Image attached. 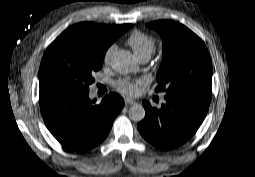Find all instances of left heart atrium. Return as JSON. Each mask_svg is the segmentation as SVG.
I'll use <instances>...</instances> for the list:
<instances>
[{
    "mask_svg": "<svg viewBox=\"0 0 255 177\" xmlns=\"http://www.w3.org/2000/svg\"><path fill=\"white\" fill-rule=\"evenodd\" d=\"M140 84L139 80H130V79H119L114 83V87L123 93L134 95L138 93V85Z\"/></svg>",
    "mask_w": 255,
    "mask_h": 177,
    "instance_id": "39dd6f15",
    "label": "left heart atrium"
}]
</instances>
